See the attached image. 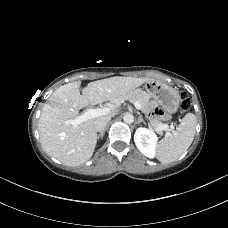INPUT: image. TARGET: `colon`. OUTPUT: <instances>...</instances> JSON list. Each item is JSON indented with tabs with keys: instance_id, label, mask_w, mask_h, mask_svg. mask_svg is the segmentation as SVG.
<instances>
[{
	"instance_id": "5ec220e1",
	"label": "colon",
	"mask_w": 228,
	"mask_h": 228,
	"mask_svg": "<svg viewBox=\"0 0 228 228\" xmlns=\"http://www.w3.org/2000/svg\"><path fill=\"white\" fill-rule=\"evenodd\" d=\"M190 98L187 93L182 92L181 93V101H180V110L182 112H187L190 108Z\"/></svg>"
}]
</instances>
